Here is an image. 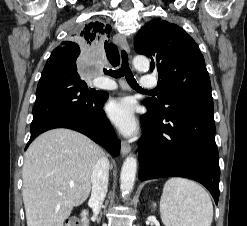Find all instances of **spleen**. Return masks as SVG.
I'll list each match as a JSON object with an SVG mask.
<instances>
[{
    "label": "spleen",
    "instance_id": "spleen-1",
    "mask_svg": "<svg viewBox=\"0 0 247 226\" xmlns=\"http://www.w3.org/2000/svg\"><path fill=\"white\" fill-rule=\"evenodd\" d=\"M161 214L168 226H210L213 205L208 193L194 181L171 178L163 188Z\"/></svg>",
    "mask_w": 247,
    "mask_h": 226
}]
</instances>
